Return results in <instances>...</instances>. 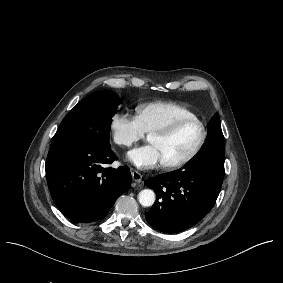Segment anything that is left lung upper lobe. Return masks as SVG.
<instances>
[{
  "instance_id": "obj_1",
  "label": "left lung upper lobe",
  "mask_w": 283,
  "mask_h": 283,
  "mask_svg": "<svg viewBox=\"0 0 283 283\" xmlns=\"http://www.w3.org/2000/svg\"><path fill=\"white\" fill-rule=\"evenodd\" d=\"M211 149H215V151L219 152L222 159H224L225 141H224V136L222 134L220 118L218 114H215L209 123L206 144L204 145L203 149L200 151L198 155L212 152ZM223 177H224V170L219 173L217 178L223 180Z\"/></svg>"
}]
</instances>
